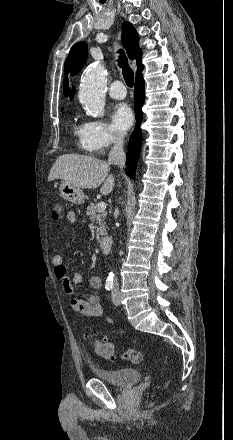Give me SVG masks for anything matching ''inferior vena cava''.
<instances>
[{"label": "inferior vena cava", "mask_w": 233, "mask_h": 440, "mask_svg": "<svg viewBox=\"0 0 233 440\" xmlns=\"http://www.w3.org/2000/svg\"><path fill=\"white\" fill-rule=\"evenodd\" d=\"M123 141H124V137L121 134L118 133L114 134L113 136L114 146L109 152V158H108V162L110 164L118 165L120 168H123L126 160V155L123 150ZM114 284L118 285L116 277Z\"/></svg>", "instance_id": "inferior-vena-cava-1"}]
</instances>
